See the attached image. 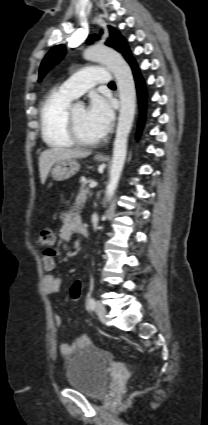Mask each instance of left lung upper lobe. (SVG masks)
<instances>
[{
  "label": "left lung upper lobe",
  "instance_id": "5c2ea615",
  "mask_svg": "<svg viewBox=\"0 0 208 425\" xmlns=\"http://www.w3.org/2000/svg\"><path fill=\"white\" fill-rule=\"evenodd\" d=\"M110 37L107 39L105 44L109 47L114 48L116 51L120 52L124 58L130 63L133 60L131 56L130 50L127 46V43L124 37L120 34V32L114 27L108 26ZM96 38L95 35L90 37V41L88 43H92V41ZM65 47L64 45H57L53 47L44 57L39 70V81L44 77V75L48 72V70L58 62L62 60L65 55Z\"/></svg>",
  "mask_w": 208,
  "mask_h": 425
}]
</instances>
